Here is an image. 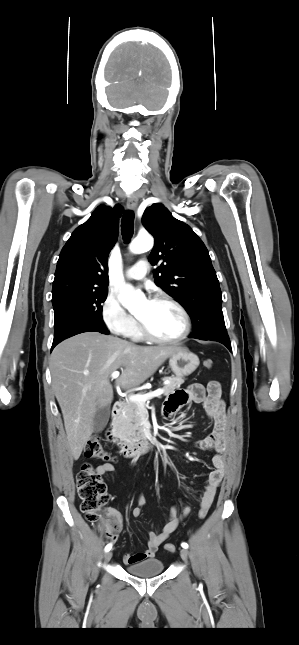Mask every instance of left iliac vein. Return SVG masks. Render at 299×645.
I'll list each match as a JSON object with an SVG mask.
<instances>
[{
  "instance_id": "1",
  "label": "left iliac vein",
  "mask_w": 299,
  "mask_h": 645,
  "mask_svg": "<svg viewBox=\"0 0 299 645\" xmlns=\"http://www.w3.org/2000/svg\"><path fill=\"white\" fill-rule=\"evenodd\" d=\"M188 555H189V554H188V550H187V549H184V548H183V549H181V550H180V556H181V558H182L183 560H185V561H186V560L188 559Z\"/></svg>"
}]
</instances>
